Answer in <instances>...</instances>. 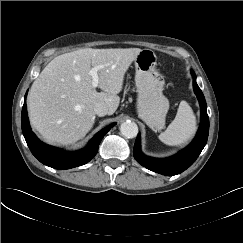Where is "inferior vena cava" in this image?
I'll return each instance as SVG.
<instances>
[{
	"mask_svg": "<svg viewBox=\"0 0 243 243\" xmlns=\"http://www.w3.org/2000/svg\"><path fill=\"white\" fill-rule=\"evenodd\" d=\"M94 112L98 115V116H105L106 114H108V108L105 104L103 103H97L94 107Z\"/></svg>",
	"mask_w": 243,
	"mask_h": 243,
	"instance_id": "obj_1",
	"label": "inferior vena cava"
}]
</instances>
